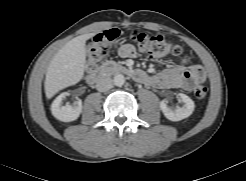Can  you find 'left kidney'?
I'll list each match as a JSON object with an SVG mask.
<instances>
[{
	"mask_svg": "<svg viewBox=\"0 0 246 181\" xmlns=\"http://www.w3.org/2000/svg\"><path fill=\"white\" fill-rule=\"evenodd\" d=\"M178 97L182 100L184 105L182 107H177L176 109H171L167 106V100H162L160 102V108L164 114V116L171 121H180L189 117L195 108L193 100L185 95V94H178Z\"/></svg>",
	"mask_w": 246,
	"mask_h": 181,
	"instance_id": "obj_1",
	"label": "left kidney"
}]
</instances>
